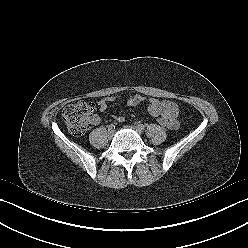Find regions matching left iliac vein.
<instances>
[{
    "label": "left iliac vein",
    "mask_w": 248,
    "mask_h": 248,
    "mask_svg": "<svg viewBox=\"0 0 248 248\" xmlns=\"http://www.w3.org/2000/svg\"><path fill=\"white\" fill-rule=\"evenodd\" d=\"M126 127L130 128V129H133V130L136 131L138 134H141V130H140L138 127H136V126H130V125H128V126H126Z\"/></svg>",
    "instance_id": "left-iliac-vein-1"
}]
</instances>
